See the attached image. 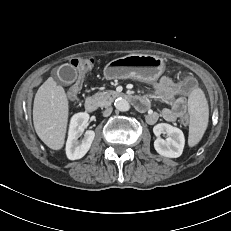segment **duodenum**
Returning <instances> with one entry per match:
<instances>
[{
	"label": "duodenum",
	"mask_w": 231,
	"mask_h": 231,
	"mask_svg": "<svg viewBox=\"0 0 231 231\" xmlns=\"http://www.w3.org/2000/svg\"><path fill=\"white\" fill-rule=\"evenodd\" d=\"M118 96L126 97L131 104L136 108V110L140 112L146 111L148 107L147 101L140 96L137 95H129L126 93H117ZM84 108L87 112H94L97 109V101L92 96H87L84 100Z\"/></svg>",
	"instance_id": "duodenum-1"
}]
</instances>
